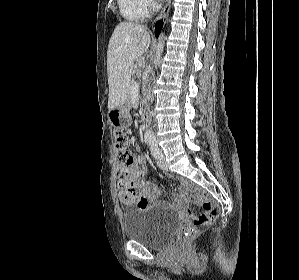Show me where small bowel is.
Instances as JSON below:
<instances>
[{
	"label": "small bowel",
	"mask_w": 299,
	"mask_h": 280,
	"mask_svg": "<svg viewBox=\"0 0 299 280\" xmlns=\"http://www.w3.org/2000/svg\"><path fill=\"white\" fill-rule=\"evenodd\" d=\"M118 197L124 205L135 204L138 208H147L153 205L170 206L176 211H183L187 205L188 189L186 180L179 178L181 191L172 199L171 203L160 200L159 188L151 182L144 180L146 165L143 159L133 156L130 167L118 169Z\"/></svg>",
	"instance_id": "1"
}]
</instances>
